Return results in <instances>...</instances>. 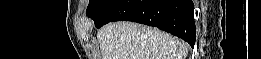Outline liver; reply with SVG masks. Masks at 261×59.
<instances>
[{"instance_id":"obj_1","label":"liver","mask_w":261,"mask_h":59,"mask_svg":"<svg viewBox=\"0 0 261 59\" xmlns=\"http://www.w3.org/2000/svg\"><path fill=\"white\" fill-rule=\"evenodd\" d=\"M102 59H185L186 43L132 22H114L98 30Z\"/></svg>"}]
</instances>
